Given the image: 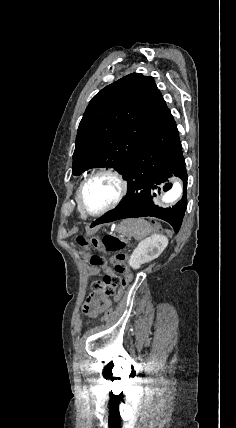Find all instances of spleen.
Returning <instances> with one entry per match:
<instances>
[{
  "label": "spleen",
  "instance_id": "spleen-1",
  "mask_svg": "<svg viewBox=\"0 0 236 428\" xmlns=\"http://www.w3.org/2000/svg\"><path fill=\"white\" fill-rule=\"evenodd\" d=\"M119 234H123L126 238H135V240H143L152 232L149 222L144 218H128L123 220L117 228Z\"/></svg>",
  "mask_w": 236,
  "mask_h": 428
}]
</instances>
